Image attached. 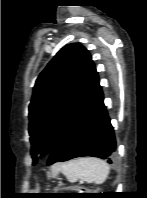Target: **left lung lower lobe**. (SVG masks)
Masks as SVG:
<instances>
[{"label": "left lung lower lobe", "mask_w": 147, "mask_h": 198, "mask_svg": "<svg viewBox=\"0 0 147 198\" xmlns=\"http://www.w3.org/2000/svg\"><path fill=\"white\" fill-rule=\"evenodd\" d=\"M115 150L114 130L97 79L89 96L55 143L48 165L82 156L98 157L111 163Z\"/></svg>", "instance_id": "left-lung-lower-lobe-1"}]
</instances>
